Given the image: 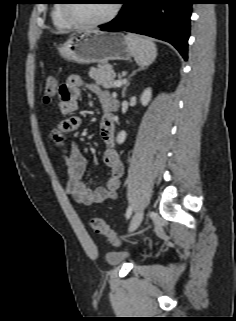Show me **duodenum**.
<instances>
[{
	"instance_id": "1",
	"label": "duodenum",
	"mask_w": 236,
	"mask_h": 321,
	"mask_svg": "<svg viewBox=\"0 0 236 321\" xmlns=\"http://www.w3.org/2000/svg\"><path fill=\"white\" fill-rule=\"evenodd\" d=\"M117 108H118V102H117V100L111 98V99L109 100V102H108V109H109V111H110V112H114V111L117 110Z\"/></svg>"
}]
</instances>
